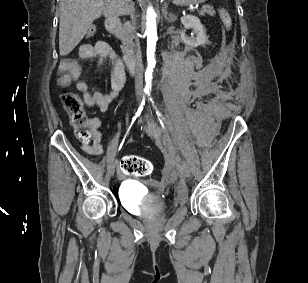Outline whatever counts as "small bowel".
<instances>
[{"label":"small bowel","instance_id":"1","mask_svg":"<svg viewBox=\"0 0 308 283\" xmlns=\"http://www.w3.org/2000/svg\"><path fill=\"white\" fill-rule=\"evenodd\" d=\"M79 54L82 59L97 58L99 63L108 59L112 63L110 78L111 91L107 94L91 90L87 83L81 79V68L76 59L66 58L62 61L60 66L61 71L71 81L77 91L82 94L85 104L88 107L97 106L102 112H106L124 87L126 76L123 65L121 61L116 58L111 46L103 40L97 41L95 44L82 45ZM81 150L91 156L103 154L102 135L96 125L94 126L92 143H90V140L83 141Z\"/></svg>","mask_w":308,"mask_h":283}]
</instances>
